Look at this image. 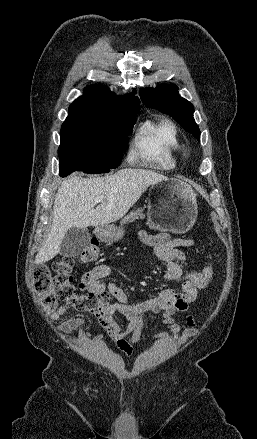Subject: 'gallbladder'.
<instances>
[{
	"instance_id": "gallbladder-1",
	"label": "gallbladder",
	"mask_w": 257,
	"mask_h": 439,
	"mask_svg": "<svg viewBox=\"0 0 257 439\" xmlns=\"http://www.w3.org/2000/svg\"><path fill=\"white\" fill-rule=\"evenodd\" d=\"M89 241L90 233L87 228L72 227L62 240L60 254L66 257L78 256L88 246Z\"/></svg>"
}]
</instances>
